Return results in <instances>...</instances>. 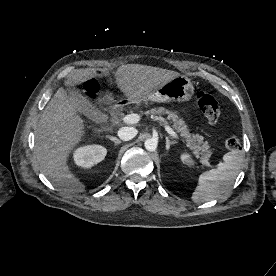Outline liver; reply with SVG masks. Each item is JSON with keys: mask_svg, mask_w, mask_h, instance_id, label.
Masks as SVG:
<instances>
[{"mask_svg": "<svg viewBox=\"0 0 276 276\" xmlns=\"http://www.w3.org/2000/svg\"><path fill=\"white\" fill-rule=\"evenodd\" d=\"M95 71H86L72 76L66 87H75L89 78ZM178 72L140 64L120 66L115 79L117 87L127 98L146 95ZM83 118L68 99L67 90L60 87L45 107L35 133V157L40 170L60 190L68 193L83 192L85 186L68 167V158L85 136Z\"/></svg>", "mask_w": 276, "mask_h": 276, "instance_id": "6515ba94", "label": "liver"}]
</instances>
